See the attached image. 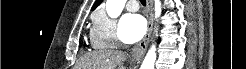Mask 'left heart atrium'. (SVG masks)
I'll return each mask as SVG.
<instances>
[{
    "label": "left heart atrium",
    "mask_w": 246,
    "mask_h": 69,
    "mask_svg": "<svg viewBox=\"0 0 246 69\" xmlns=\"http://www.w3.org/2000/svg\"><path fill=\"white\" fill-rule=\"evenodd\" d=\"M145 19L136 13L125 14L120 22L119 37L125 44L139 41L145 33Z\"/></svg>",
    "instance_id": "39dd6f15"
}]
</instances>
